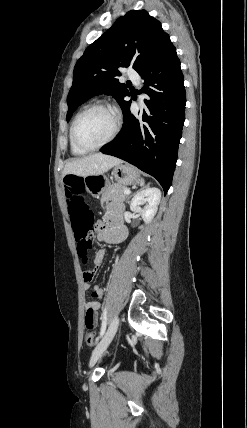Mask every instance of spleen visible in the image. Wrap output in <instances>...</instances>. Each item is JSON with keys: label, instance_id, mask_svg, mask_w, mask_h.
Masks as SVG:
<instances>
[{"label": "spleen", "instance_id": "1", "mask_svg": "<svg viewBox=\"0 0 247 428\" xmlns=\"http://www.w3.org/2000/svg\"><path fill=\"white\" fill-rule=\"evenodd\" d=\"M141 185H144V180L143 179L141 180Z\"/></svg>", "mask_w": 247, "mask_h": 428}]
</instances>
